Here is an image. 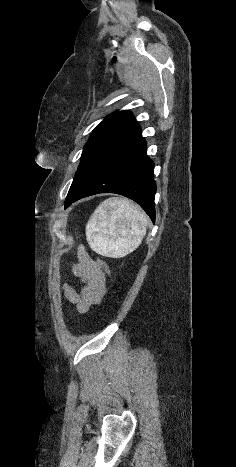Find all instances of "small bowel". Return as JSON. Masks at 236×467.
<instances>
[{
  "mask_svg": "<svg viewBox=\"0 0 236 467\" xmlns=\"http://www.w3.org/2000/svg\"><path fill=\"white\" fill-rule=\"evenodd\" d=\"M73 275L81 281L79 292L69 284L63 285L66 299L76 306L79 313L85 314L99 304L107 291V276L96 260L80 249L78 262L72 266Z\"/></svg>",
  "mask_w": 236,
  "mask_h": 467,
  "instance_id": "small-bowel-1",
  "label": "small bowel"
}]
</instances>
